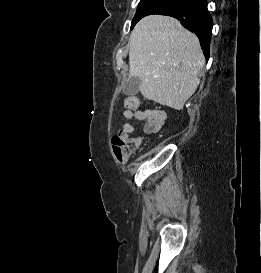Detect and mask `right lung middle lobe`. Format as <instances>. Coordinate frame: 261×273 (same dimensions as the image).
Wrapping results in <instances>:
<instances>
[{
	"mask_svg": "<svg viewBox=\"0 0 261 273\" xmlns=\"http://www.w3.org/2000/svg\"><path fill=\"white\" fill-rule=\"evenodd\" d=\"M167 0H141L137 12L132 20L131 28L144 16L158 14L167 9Z\"/></svg>",
	"mask_w": 261,
	"mask_h": 273,
	"instance_id": "1",
	"label": "right lung middle lobe"
}]
</instances>
